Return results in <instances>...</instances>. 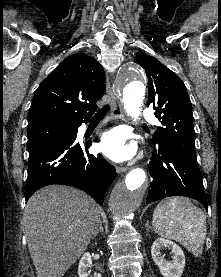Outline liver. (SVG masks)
Returning <instances> with one entry per match:
<instances>
[{
    "instance_id": "1",
    "label": "liver",
    "mask_w": 221,
    "mask_h": 277,
    "mask_svg": "<svg viewBox=\"0 0 221 277\" xmlns=\"http://www.w3.org/2000/svg\"><path fill=\"white\" fill-rule=\"evenodd\" d=\"M23 218L37 277H63L87 249L101 222L100 208L90 196L58 185L33 194Z\"/></svg>"
}]
</instances>
